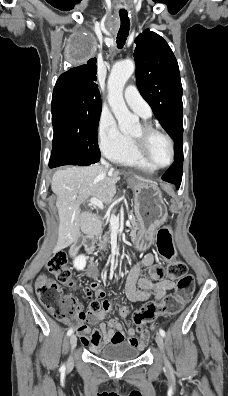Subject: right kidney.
I'll return each instance as SVG.
<instances>
[{
	"label": "right kidney",
	"instance_id": "obj_1",
	"mask_svg": "<svg viewBox=\"0 0 228 396\" xmlns=\"http://www.w3.org/2000/svg\"><path fill=\"white\" fill-rule=\"evenodd\" d=\"M86 256L84 255H79L77 256L74 261H73V265L77 270H83L86 266Z\"/></svg>",
	"mask_w": 228,
	"mask_h": 396
}]
</instances>
